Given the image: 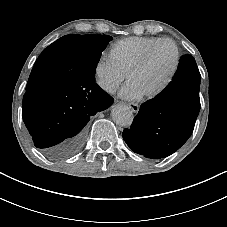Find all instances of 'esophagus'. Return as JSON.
I'll return each instance as SVG.
<instances>
[{"label": "esophagus", "mask_w": 227, "mask_h": 227, "mask_svg": "<svg viewBox=\"0 0 227 227\" xmlns=\"http://www.w3.org/2000/svg\"><path fill=\"white\" fill-rule=\"evenodd\" d=\"M127 105L134 113H138L139 108H140V106L138 104L131 102V103H128Z\"/></svg>", "instance_id": "1"}]
</instances>
